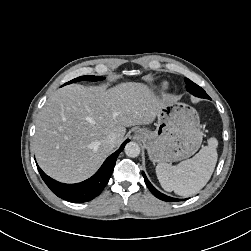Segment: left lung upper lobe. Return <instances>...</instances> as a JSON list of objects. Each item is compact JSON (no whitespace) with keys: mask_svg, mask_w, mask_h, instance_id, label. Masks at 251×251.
Returning a JSON list of instances; mask_svg holds the SVG:
<instances>
[{"mask_svg":"<svg viewBox=\"0 0 251 251\" xmlns=\"http://www.w3.org/2000/svg\"><path fill=\"white\" fill-rule=\"evenodd\" d=\"M186 83V89L189 93L196 97L210 99V97L206 94V92L197 84L189 80L188 78H185Z\"/></svg>","mask_w":251,"mask_h":251,"instance_id":"obj_1","label":"left lung upper lobe"}]
</instances>
